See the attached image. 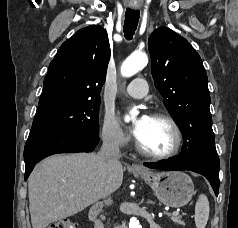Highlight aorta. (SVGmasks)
<instances>
[{"instance_id":"1","label":"aorta","mask_w":238,"mask_h":228,"mask_svg":"<svg viewBox=\"0 0 238 228\" xmlns=\"http://www.w3.org/2000/svg\"><path fill=\"white\" fill-rule=\"evenodd\" d=\"M148 63V57L144 52H134L132 53L122 64L121 74L124 77H131L135 75L138 71L143 69ZM135 112L133 111L132 114ZM126 121L130 120L129 116L125 117ZM129 228H142L139 220L132 217L129 222Z\"/></svg>"}]
</instances>
